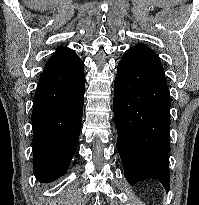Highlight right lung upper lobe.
Wrapping results in <instances>:
<instances>
[{
	"instance_id": "obj_1",
	"label": "right lung upper lobe",
	"mask_w": 199,
	"mask_h": 205,
	"mask_svg": "<svg viewBox=\"0 0 199 205\" xmlns=\"http://www.w3.org/2000/svg\"><path fill=\"white\" fill-rule=\"evenodd\" d=\"M84 64L77 56L74 50L65 46L57 49L47 61L40 79L43 77L51 78L53 75L52 83L60 82L59 79L72 77L83 70Z\"/></svg>"
}]
</instances>
